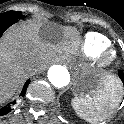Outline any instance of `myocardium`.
<instances>
[{
	"label": "myocardium",
	"instance_id": "f54148a6",
	"mask_svg": "<svg viewBox=\"0 0 124 124\" xmlns=\"http://www.w3.org/2000/svg\"><path fill=\"white\" fill-rule=\"evenodd\" d=\"M96 58L99 69H109L116 64L119 52L115 47L108 46Z\"/></svg>",
	"mask_w": 124,
	"mask_h": 124
}]
</instances>
